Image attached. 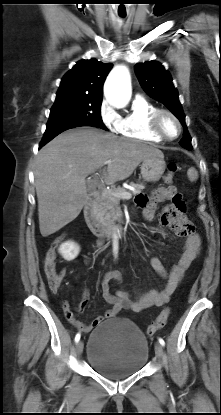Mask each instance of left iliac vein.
I'll list each match as a JSON object with an SVG mask.
<instances>
[{"instance_id": "obj_1", "label": "left iliac vein", "mask_w": 221, "mask_h": 415, "mask_svg": "<svg viewBox=\"0 0 221 415\" xmlns=\"http://www.w3.org/2000/svg\"><path fill=\"white\" fill-rule=\"evenodd\" d=\"M155 353H156V356L159 357V358L162 356L163 348H162V345L160 343L155 344Z\"/></svg>"}]
</instances>
